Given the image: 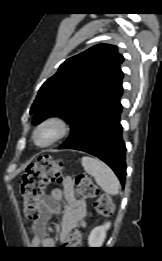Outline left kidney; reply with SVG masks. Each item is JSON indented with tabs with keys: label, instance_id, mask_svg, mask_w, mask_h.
<instances>
[{
	"label": "left kidney",
	"instance_id": "1",
	"mask_svg": "<svg viewBox=\"0 0 162 261\" xmlns=\"http://www.w3.org/2000/svg\"><path fill=\"white\" fill-rule=\"evenodd\" d=\"M110 226L111 223L107 222L103 226L95 227L88 237L89 246L92 248L101 247L106 237V231L110 228Z\"/></svg>",
	"mask_w": 162,
	"mask_h": 261
}]
</instances>
